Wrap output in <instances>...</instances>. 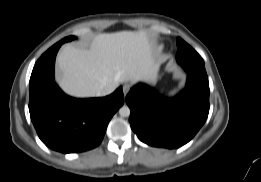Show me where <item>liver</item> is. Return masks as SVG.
<instances>
[{
    "label": "liver",
    "mask_w": 261,
    "mask_h": 182,
    "mask_svg": "<svg viewBox=\"0 0 261 182\" xmlns=\"http://www.w3.org/2000/svg\"><path fill=\"white\" fill-rule=\"evenodd\" d=\"M58 83L69 95L96 97L121 82L151 83L155 76L153 44L146 32L120 31L92 37L89 49L65 45L57 56Z\"/></svg>",
    "instance_id": "obj_1"
}]
</instances>
